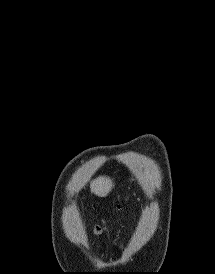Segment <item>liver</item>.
I'll use <instances>...</instances> for the list:
<instances>
[{"label":"liver","mask_w":215,"mask_h":274,"mask_svg":"<svg viewBox=\"0 0 215 274\" xmlns=\"http://www.w3.org/2000/svg\"><path fill=\"white\" fill-rule=\"evenodd\" d=\"M113 187L112 181L106 177H98L90 184L92 193L99 197H106Z\"/></svg>","instance_id":"1"}]
</instances>
